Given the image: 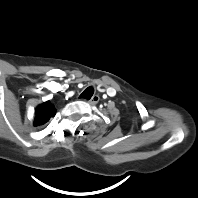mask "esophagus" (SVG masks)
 <instances>
[{
	"label": "esophagus",
	"instance_id": "34e87169",
	"mask_svg": "<svg viewBox=\"0 0 198 198\" xmlns=\"http://www.w3.org/2000/svg\"><path fill=\"white\" fill-rule=\"evenodd\" d=\"M100 100V97L98 95H94L90 100H89V103L91 105H95L99 102Z\"/></svg>",
	"mask_w": 198,
	"mask_h": 198
}]
</instances>
